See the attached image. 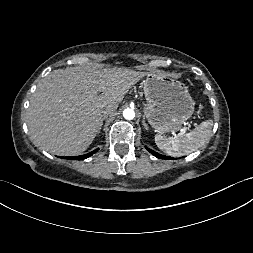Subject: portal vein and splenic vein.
<instances>
[{
  "label": "portal vein and splenic vein",
  "mask_w": 253,
  "mask_h": 253,
  "mask_svg": "<svg viewBox=\"0 0 253 253\" xmlns=\"http://www.w3.org/2000/svg\"><path fill=\"white\" fill-rule=\"evenodd\" d=\"M187 129H189V128L185 127V128L182 129L181 131H182V132H185Z\"/></svg>",
  "instance_id": "portal-vein-and-splenic-vein-1"
}]
</instances>
